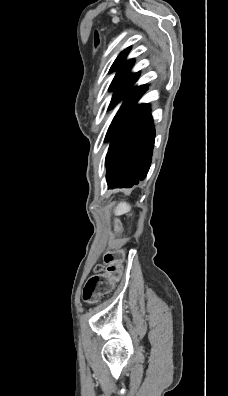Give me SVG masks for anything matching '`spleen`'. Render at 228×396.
<instances>
[{
  "instance_id": "3e777b00",
  "label": "spleen",
  "mask_w": 228,
  "mask_h": 396,
  "mask_svg": "<svg viewBox=\"0 0 228 396\" xmlns=\"http://www.w3.org/2000/svg\"><path fill=\"white\" fill-rule=\"evenodd\" d=\"M130 210H131L130 204H128L126 202H120L115 209V214L121 215V214L129 212Z\"/></svg>"
}]
</instances>
